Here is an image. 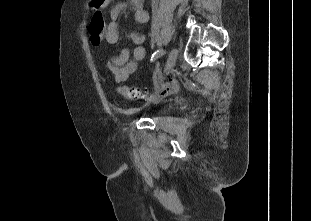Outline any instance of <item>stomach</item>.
<instances>
[{
	"label": "stomach",
	"mask_w": 311,
	"mask_h": 221,
	"mask_svg": "<svg viewBox=\"0 0 311 221\" xmlns=\"http://www.w3.org/2000/svg\"><path fill=\"white\" fill-rule=\"evenodd\" d=\"M108 2L109 0H95L94 6H96V8H105Z\"/></svg>",
	"instance_id": "stomach-1"
}]
</instances>
